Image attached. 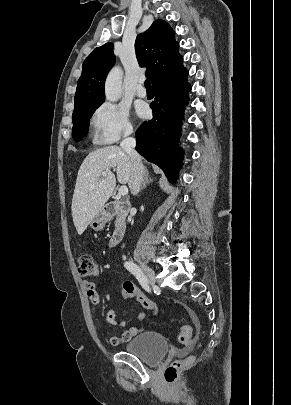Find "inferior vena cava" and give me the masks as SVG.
<instances>
[{"mask_svg": "<svg viewBox=\"0 0 291 405\" xmlns=\"http://www.w3.org/2000/svg\"><path fill=\"white\" fill-rule=\"evenodd\" d=\"M132 130L125 132L124 139L122 140L120 146L129 155L131 161V178L129 182V187L131 193L136 195L139 193L141 184L144 177V166L141 162V157L135 151L136 141L130 135Z\"/></svg>", "mask_w": 291, "mask_h": 405, "instance_id": "inferior-vena-cava-1", "label": "inferior vena cava"}]
</instances>
